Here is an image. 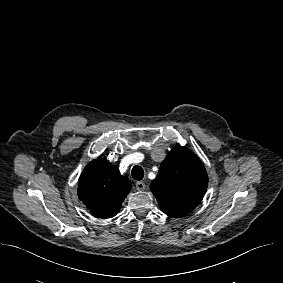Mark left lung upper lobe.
<instances>
[{"instance_id": "5c2ea615", "label": "left lung upper lobe", "mask_w": 283, "mask_h": 283, "mask_svg": "<svg viewBox=\"0 0 283 283\" xmlns=\"http://www.w3.org/2000/svg\"><path fill=\"white\" fill-rule=\"evenodd\" d=\"M207 185L208 176L202 162L188 148L177 144L161 163L150 189L166 215L181 217L197 207Z\"/></svg>"}]
</instances>
